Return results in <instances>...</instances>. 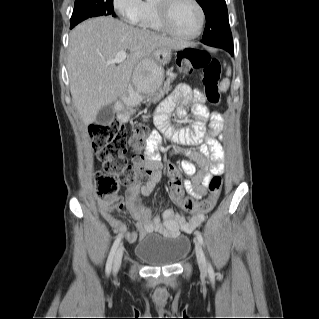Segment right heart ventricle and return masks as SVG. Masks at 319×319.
I'll use <instances>...</instances> for the list:
<instances>
[{"mask_svg": "<svg viewBox=\"0 0 319 319\" xmlns=\"http://www.w3.org/2000/svg\"><path fill=\"white\" fill-rule=\"evenodd\" d=\"M138 25L152 31L163 30L156 9V1L147 0L144 2Z\"/></svg>", "mask_w": 319, "mask_h": 319, "instance_id": "obj_1", "label": "right heart ventricle"}]
</instances>
